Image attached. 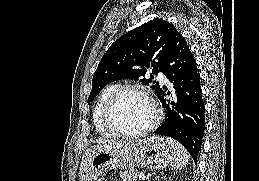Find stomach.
I'll return each mask as SVG.
<instances>
[{
	"instance_id": "1",
	"label": "stomach",
	"mask_w": 259,
	"mask_h": 181,
	"mask_svg": "<svg viewBox=\"0 0 259 181\" xmlns=\"http://www.w3.org/2000/svg\"><path fill=\"white\" fill-rule=\"evenodd\" d=\"M173 158L168 142L160 136L131 141L122 147H93L80 165L81 181H96L107 170L148 167L165 168Z\"/></svg>"
}]
</instances>
